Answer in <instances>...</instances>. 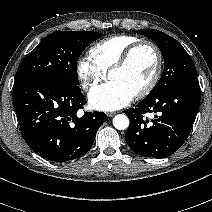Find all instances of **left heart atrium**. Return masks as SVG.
<instances>
[{"mask_svg":"<svg viewBox=\"0 0 212 212\" xmlns=\"http://www.w3.org/2000/svg\"><path fill=\"white\" fill-rule=\"evenodd\" d=\"M133 98V93L114 81L93 88L88 95L90 106L101 111L120 109L128 105Z\"/></svg>","mask_w":212,"mask_h":212,"instance_id":"left-heart-atrium-1","label":"left heart atrium"}]
</instances>
